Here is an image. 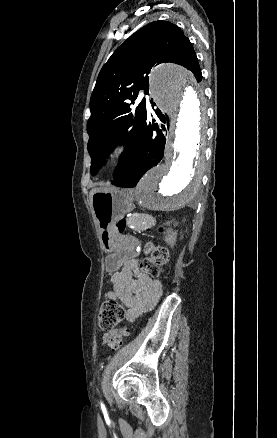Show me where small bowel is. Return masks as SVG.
Masks as SVG:
<instances>
[{"instance_id": "1", "label": "small bowel", "mask_w": 277, "mask_h": 438, "mask_svg": "<svg viewBox=\"0 0 277 438\" xmlns=\"http://www.w3.org/2000/svg\"><path fill=\"white\" fill-rule=\"evenodd\" d=\"M112 291L107 294L110 299L120 300L126 307V320L134 321L142 313L151 310L161 294V283L139 269L137 250L128 246L121 269L111 277ZM117 331L105 335L107 342Z\"/></svg>"}]
</instances>
